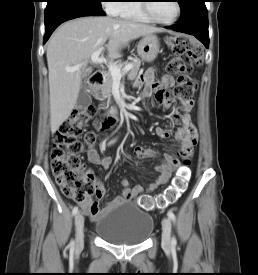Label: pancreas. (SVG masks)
<instances>
[{
  "label": "pancreas",
  "instance_id": "1",
  "mask_svg": "<svg viewBox=\"0 0 258 275\" xmlns=\"http://www.w3.org/2000/svg\"><path fill=\"white\" fill-rule=\"evenodd\" d=\"M132 64L133 67L129 70L128 78L130 80L135 79L141 66V60L139 58H131L130 61H126L124 65ZM120 68V67H118ZM105 79L101 85V94L103 98H110L112 93L113 77L110 71L104 74Z\"/></svg>",
  "mask_w": 258,
  "mask_h": 275
}]
</instances>
